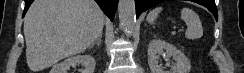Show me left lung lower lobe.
<instances>
[{"instance_id":"left-lung-lower-lobe-1","label":"left lung lower lobe","mask_w":244,"mask_h":73,"mask_svg":"<svg viewBox=\"0 0 244 73\" xmlns=\"http://www.w3.org/2000/svg\"><path fill=\"white\" fill-rule=\"evenodd\" d=\"M163 1L165 0H135L136 18H138L142 12L152 8L153 6H156L159 3H162ZM193 2H196L198 4L207 7L209 11H211L214 14L216 20L218 19L215 0H193Z\"/></svg>"}]
</instances>
